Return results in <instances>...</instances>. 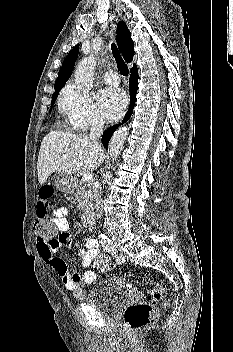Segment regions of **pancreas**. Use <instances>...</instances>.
Segmentation results:
<instances>
[{
    "label": "pancreas",
    "instance_id": "pancreas-1",
    "mask_svg": "<svg viewBox=\"0 0 233 352\" xmlns=\"http://www.w3.org/2000/svg\"><path fill=\"white\" fill-rule=\"evenodd\" d=\"M74 191L78 200V210L84 212L92 201V187L83 180H74Z\"/></svg>",
    "mask_w": 233,
    "mask_h": 352
}]
</instances>
